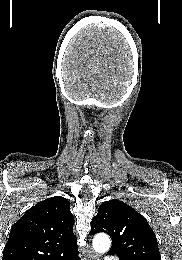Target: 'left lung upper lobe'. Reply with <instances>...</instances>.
<instances>
[{"label": "left lung upper lobe", "mask_w": 182, "mask_h": 260, "mask_svg": "<svg viewBox=\"0 0 182 260\" xmlns=\"http://www.w3.org/2000/svg\"><path fill=\"white\" fill-rule=\"evenodd\" d=\"M106 232L112 237L108 254L120 260H161L156 236L146 219L126 203L103 202L91 222L90 235Z\"/></svg>", "instance_id": "obj_1"}]
</instances>
